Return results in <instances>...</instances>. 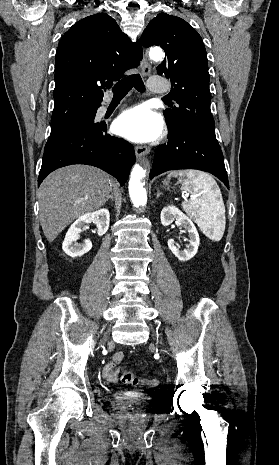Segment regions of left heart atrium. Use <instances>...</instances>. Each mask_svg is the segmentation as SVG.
<instances>
[{"label":"left heart atrium","mask_w":279,"mask_h":465,"mask_svg":"<svg viewBox=\"0 0 279 465\" xmlns=\"http://www.w3.org/2000/svg\"><path fill=\"white\" fill-rule=\"evenodd\" d=\"M121 136L133 142H151L162 133V118L147 105L141 104L124 111L115 122Z\"/></svg>","instance_id":"1"}]
</instances>
